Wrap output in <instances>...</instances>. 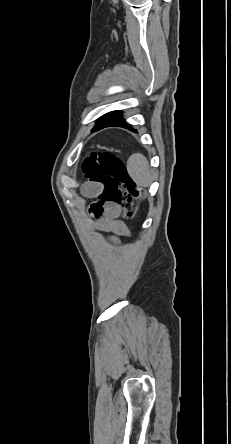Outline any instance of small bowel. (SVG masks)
Returning a JSON list of instances; mask_svg holds the SVG:
<instances>
[{"label":"small bowel","mask_w":231,"mask_h":444,"mask_svg":"<svg viewBox=\"0 0 231 444\" xmlns=\"http://www.w3.org/2000/svg\"><path fill=\"white\" fill-rule=\"evenodd\" d=\"M84 192L86 195L96 196L100 192V185L95 183L86 184L84 187ZM100 215L101 229L112 232L116 235H126L128 233L125 225L118 220L119 216L121 215V208L118 205L110 202L104 203L103 210Z\"/></svg>","instance_id":"obj_1"}]
</instances>
